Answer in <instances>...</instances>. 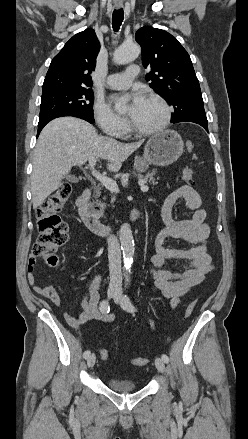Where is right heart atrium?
<instances>
[{"label":"right heart atrium","mask_w":248,"mask_h":439,"mask_svg":"<svg viewBox=\"0 0 248 439\" xmlns=\"http://www.w3.org/2000/svg\"><path fill=\"white\" fill-rule=\"evenodd\" d=\"M94 117L99 128L109 136L120 137L127 132L126 119L115 113L102 100L96 101L94 105Z\"/></svg>","instance_id":"right-heart-atrium-1"}]
</instances>
